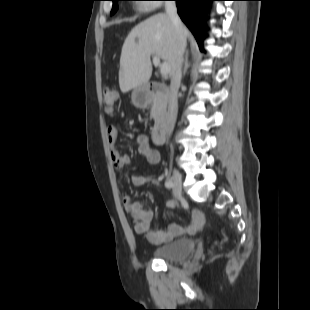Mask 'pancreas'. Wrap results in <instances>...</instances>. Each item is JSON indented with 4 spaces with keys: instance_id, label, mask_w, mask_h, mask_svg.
Returning a JSON list of instances; mask_svg holds the SVG:
<instances>
[{
    "instance_id": "1",
    "label": "pancreas",
    "mask_w": 310,
    "mask_h": 310,
    "mask_svg": "<svg viewBox=\"0 0 310 310\" xmlns=\"http://www.w3.org/2000/svg\"><path fill=\"white\" fill-rule=\"evenodd\" d=\"M160 113H161V109H160L159 101L155 99L153 101V105L151 108L150 117L156 120L160 116Z\"/></svg>"
}]
</instances>
